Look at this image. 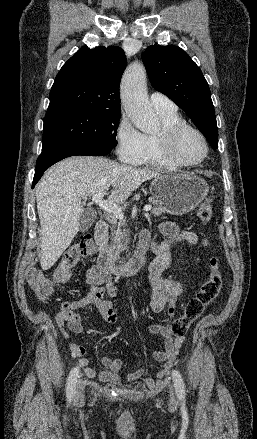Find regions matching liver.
Listing matches in <instances>:
<instances>
[{
  "label": "liver",
  "mask_w": 257,
  "mask_h": 439,
  "mask_svg": "<svg viewBox=\"0 0 257 439\" xmlns=\"http://www.w3.org/2000/svg\"><path fill=\"white\" fill-rule=\"evenodd\" d=\"M160 176L149 168H134L108 158L74 156L52 166L36 187L41 225V267L51 268L80 228L82 199L112 187L109 201L126 200L143 182Z\"/></svg>",
  "instance_id": "liver-1"
}]
</instances>
